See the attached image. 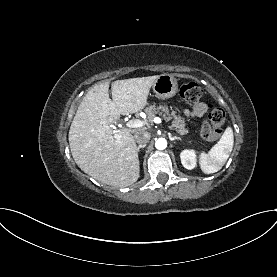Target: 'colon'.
<instances>
[{
  "mask_svg": "<svg viewBox=\"0 0 277 277\" xmlns=\"http://www.w3.org/2000/svg\"><path fill=\"white\" fill-rule=\"evenodd\" d=\"M179 94L186 102L196 103L202 97V89L197 83L189 82L180 86ZM206 103L211 110L203 122L201 137L205 142L212 143L222 134L226 115L222 108L214 107L211 101Z\"/></svg>",
  "mask_w": 277,
  "mask_h": 277,
  "instance_id": "1",
  "label": "colon"
}]
</instances>
